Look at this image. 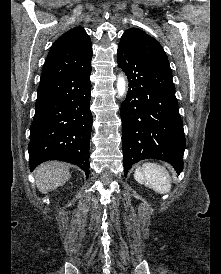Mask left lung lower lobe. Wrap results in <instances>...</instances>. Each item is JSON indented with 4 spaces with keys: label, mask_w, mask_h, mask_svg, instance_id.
<instances>
[{
    "label": "left lung lower lobe",
    "mask_w": 221,
    "mask_h": 274,
    "mask_svg": "<svg viewBox=\"0 0 221 274\" xmlns=\"http://www.w3.org/2000/svg\"><path fill=\"white\" fill-rule=\"evenodd\" d=\"M117 62L129 82L121 106L125 176L133 164L146 158L169 162L180 173L186 145L172 72L122 48Z\"/></svg>",
    "instance_id": "0a47b994"
}]
</instances>
